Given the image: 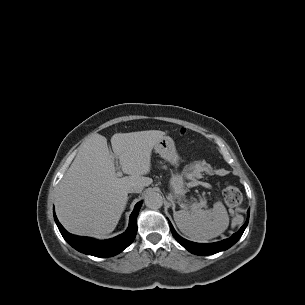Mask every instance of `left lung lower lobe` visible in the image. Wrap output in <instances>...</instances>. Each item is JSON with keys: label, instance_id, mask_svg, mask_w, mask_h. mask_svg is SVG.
<instances>
[{"label": "left lung lower lobe", "instance_id": "obj_1", "mask_svg": "<svg viewBox=\"0 0 305 305\" xmlns=\"http://www.w3.org/2000/svg\"><path fill=\"white\" fill-rule=\"evenodd\" d=\"M249 219V211H248V218L245 222V224L240 228V230L233 234L232 237L225 239L220 242L212 243V244H199L187 241L180 237L174 230L172 224L169 222L171 232L175 239L178 241L179 244H181L183 247H185L189 252L196 254V255H211L218 253L220 251H224L231 246H233L242 236Z\"/></svg>", "mask_w": 305, "mask_h": 305}]
</instances>
